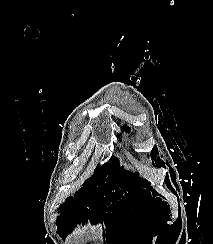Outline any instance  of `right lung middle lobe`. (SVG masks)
<instances>
[{"label": "right lung middle lobe", "instance_id": "1", "mask_svg": "<svg viewBox=\"0 0 213 244\" xmlns=\"http://www.w3.org/2000/svg\"><path fill=\"white\" fill-rule=\"evenodd\" d=\"M125 173L123 171V168H120L118 159L116 157H113L110 159V162L106 163L101 167L100 165H97L93 176L87 181V183L90 181H94V183L98 182L101 178L103 179H109L115 177L116 175Z\"/></svg>", "mask_w": 213, "mask_h": 244}]
</instances>
